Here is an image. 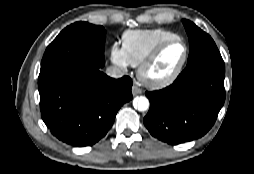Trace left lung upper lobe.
<instances>
[{
  "label": "left lung upper lobe",
  "mask_w": 254,
  "mask_h": 174,
  "mask_svg": "<svg viewBox=\"0 0 254 174\" xmlns=\"http://www.w3.org/2000/svg\"><path fill=\"white\" fill-rule=\"evenodd\" d=\"M182 23L189 37L190 54L181 76L206 68L225 70L224 61L213 39L193 22L183 19Z\"/></svg>",
  "instance_id": "1"
}]
</instances>
